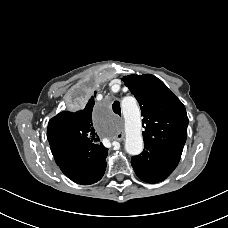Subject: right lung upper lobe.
<instances>
[{"mask_svg":"<svg viewBox=\"0 0 228 228\" xmlns=\"http://www.w3.org/2000/svg\"><path fill=\"white\" fill-rule=\"evenodd\" d=\"M94 96H96V91ZM94 104L92 96L82 109L76 112L63 111L49 121L47 138L51 149L65 148L76 144L104 147L93 127Z\"/></svg>","mask_w":228,"mask_h":228,"instance_id":"cb5924a9","label":"right lung upper lobe"}]
</instances>
